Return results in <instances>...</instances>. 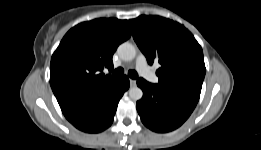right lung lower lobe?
<instances>
[{"label": "right lung lower lobe", "mask_w": 261, "mask_h": 150, "mask_svg": "<svg viewBox=\"0 0 261 150\" xmlns=\"http://www.w3.org/2000/svg\"><path fill=\"white\" fill-rule=\"evenodd\" d=\"M128 88L129 79L127 76H123L115 90L85 106L67 119L84 132L98 133L105 130L112 124L118 102Z\"/></svg>", "instance_id": "1"}]
</instances>
